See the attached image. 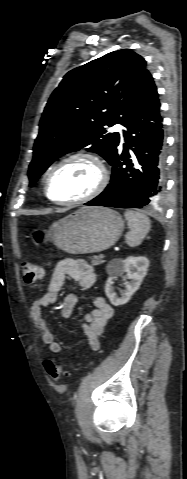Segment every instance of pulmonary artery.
Returning <instances> with one entry per match:
<instances>
[{
  "label": "pulmonary artery",
  "instance_id": "e3ab8cb5",
  "mask_svg": "<svg viewBox=\"0 0 187 479\" xmlns=\"http://www.w3.org/2000/svg\"><path fill=\"white\" fill-rule=\"evenodd\" d=\"M113 130L119 132V133L122 135L123 127H122L120 124H116V125L113 127Z\"/></svg>",
  "mask_w": 187,
  "mask_h": 479
}]
</instances>
